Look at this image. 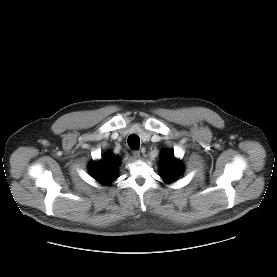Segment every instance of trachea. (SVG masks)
I'll return each instance as SVG.
<instances>
[{"instance_id":"1","label":"trachea","mask_w":277,"mask_h":277,"mask_svg":"<svg viewBox=\"0 0 277 277\" xmlns=\"http://www.w3.org/2000/svg\"><path fill=\"white\" fill-rule=\"evenodd\" d=\"M127 142L131 149L137 150L139 148L140 141H139V137L137 135H135V134L130 135Z\"/></svg>"}]
</instances>
